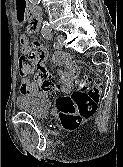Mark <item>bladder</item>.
I'll return each instance as SVG.
<instances>
[{"mask_svg":"<svg viewBox=\"0 0 123 167\" xmlns=\"http://www.w3.org/2000/svg\"><path fill=\"white\" fill-rule=\"evenodd\" d=\"M17 107L35 119L42 120L50 112V102L41 96H20L17 98Z\"/></svg>","mask_w":123,"mask_h":167,"instance_id":"bladder-1","label":"bladder"}]
</instances>
